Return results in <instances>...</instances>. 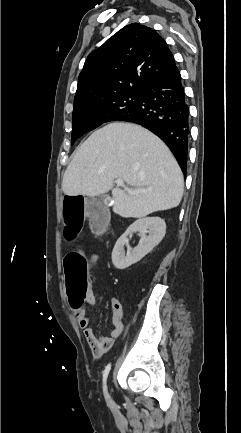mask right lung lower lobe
<instances>
[{
	"mask_svg": "<svg viewBox=\"0 0 241 433\" xmlns=\"http://www.w3.org/2000/svg\"><path fill=\"white\" fill-rule=\"evenodd\" d=\"M141 93L139 105L120 120L140 124L161 138L186 173L189 108L178 68L148 83Z\"/></svg>",
	"mask_w": 241,
	"mask_h": 433,
	"instance_id": "98d812e1",
	"label": "right lung lower lobe"
}]
</instances>
